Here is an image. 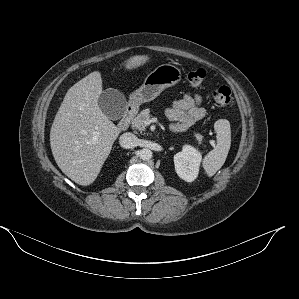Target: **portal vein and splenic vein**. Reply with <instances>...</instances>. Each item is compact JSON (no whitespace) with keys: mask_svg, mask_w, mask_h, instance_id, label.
I'll use <instances>...</instances> for the list:
<instances>
[{"mask_svg":"<svg viewBox=\"0 0 299 299\" xmlns=\"http://www.w3.org/2000/svg\"><path fill=\"white\" fill-rule=\"evenodd\" d=\"M150 122H151L150 120L147 121L148 124H150ZM213 146H214V144H213Z\"/></svg>","mask_w":299,"mask_h":299,"instance_id":"1","label":"portal vein and splenic vein"}]
</instances>
